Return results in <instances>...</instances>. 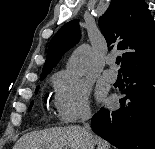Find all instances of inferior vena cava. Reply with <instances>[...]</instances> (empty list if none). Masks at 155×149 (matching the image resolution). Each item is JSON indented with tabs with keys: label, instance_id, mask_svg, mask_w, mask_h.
I'll return each mask as SVG.
<instances>
[{
	"label": "inferior vena cava",
	"instance_id": "602c4592",
	"mask_svg": "<svg viewBox=\"0 0 155 149\" xmlns=\"http://www.w3.org/2000/svg\"><path fill=\"white\" fill-rule=\"evenodd\" d=\"M90 118H91V114L85 113L82 117V122L84 124V129L88 132L89 137L91 139L92 149H94L95 141H94V139H92L90 127H89L88 123H86V121L89 120Z\"/></svg>",
	"mask_w": 155,
	"mask_h": 149
}]
</instances>
